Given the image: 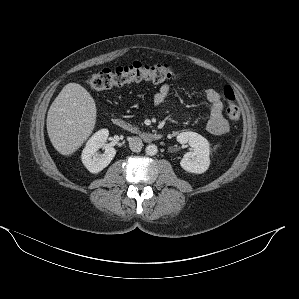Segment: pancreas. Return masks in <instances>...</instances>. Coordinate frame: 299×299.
I'll return each instance as SVG.
<instances>
[{
	"mask_svg": "<svg viewBox=\"0 0 299 299\" xmlns=\"http://www.w3.org/2000/svg\"><path fill=\"white\" fill-rule=\"evenodd\" d=\"M130 130L132 131V132H139V130H138V128L137 127H130Z\"/></svg>",
	"mask_w": 299,
	"mask_h": 299,
	"instance_id": "cf45deb5",
	"label": "pancreas"
}]
</instances>
